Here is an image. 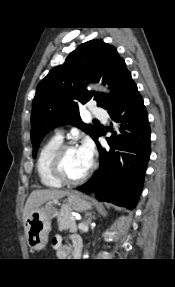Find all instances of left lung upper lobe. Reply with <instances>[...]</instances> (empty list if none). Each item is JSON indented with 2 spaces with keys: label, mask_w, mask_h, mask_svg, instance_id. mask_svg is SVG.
Returning a JSON list of instances; mask_svg holds the SVG:
<instances>
[{
  "label": "left lung upper lobe",
  "mask_w": 175,
  "mask_h": 287,
  "mask_svg": "<svg viewBox=\"0 0 175 287\" xmlns=\"http://www.w3.org/2000/svg\"><path fill=\"white\" fill-rule=\"evenodd\" d=\"M100 80L116 93V100L82 88L85 81ZM133 84L131 73L115 47L101 39L80 45L68 55L63 65L52 69L37 86L31 115L33 157L46 133L57 126L72 124L95 141L100 131L82 122L78 104L95 100L98 106L112 112L123 103Z\"/></svg>",
  "instance_id": "5c2ea615"
}]
</instances>
